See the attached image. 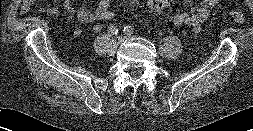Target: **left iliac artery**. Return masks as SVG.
Listing matches in <instances>:
<instances>
[{"instance_id": "44dca946", "label": "left iliac artery", "mask_w": 253, "mask_h": 131, "mask_svg": "<svg viewBox=\"0 0 253 131\" xmlns=\"http://www.w3.org/2000/svg\"><path fill=\"white\" fill-rule=\"evenodd\" d=\"M123 31H124V33L126 35L133 34V28L131 26H129V25L125 26L124 29H123Z\"/></svg>"}]
</instances>
